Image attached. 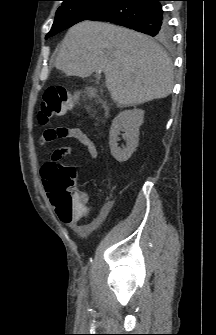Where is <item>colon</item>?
Masks as SVG:
<instances>
[{
    "label": "colon",
    "instance_id": "1",
    "mask_svg": "<svg viewBox=\"0 0 216 335\" xmlns=\"http://www.w3.org/2000/svg\"><path fill=\"white\" fill-rule=\"evenodd\" d=\"M81 101L82 99L77 93H71L64 87H49L43 95V101L38 111V121L41 125H46L53 117L65 114L79 105ZM67 152L68 149L64 147L58 150V155L63 156ZM52 166L49 194L56 202L58 214H61L64 218L78 207L72 193L76 184L77 173L73 167L64 166L53 160L45 165V169Z\"/></svg>",
    "mask_w": 216,
    "mask_h": 335
}]
</instances>
